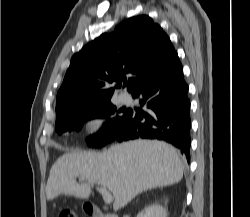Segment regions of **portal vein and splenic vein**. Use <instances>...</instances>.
<instances>
[{"label":"portal vein and splenic vein","mask_w":250,"mask_h":217,"mask_svg":"<svg viewBox=\"0 0 250 217\" xmlns=\"http://www.w3.org/2000/svg\"><path fill=\"white\" fill-rule=\"evenodd\" d=\"M82 180H84V178L83 177H80ZM97 190L101 193V195H102V197H103V199H104V202L106 203V204H110V203H112V201H113V196H112V194L107 190V188L106 187H103V186H101V187H97Z\"/></svg>","instance_id":"1"}]
</instances>
